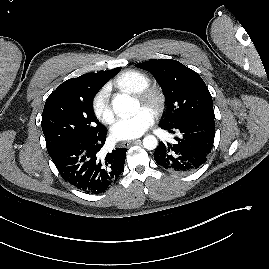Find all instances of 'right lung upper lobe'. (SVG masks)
Listing matches in <instances>:
<instances>
[{"label": "right lung upper lobe", "instance_id": "obj_1", "mask_svg": "<svg viewBox=\"0 0 269 269\" xmlns=\"http://www.w3.org/2000/svg\"><path fill=\"white\" fill-rule=\"evenodd\" d=\"M119 68L109 71H100L97 73H88L81 75L77 78L69 79L63 82L55 91H62L71 87L91 86V85H104L111 77L118 73Z\"/></svg>", "mask_w": 269, "mask_h": 269}]
</instances>
